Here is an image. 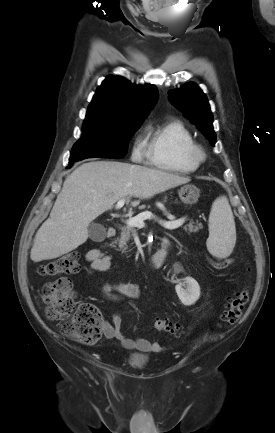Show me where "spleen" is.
I'll list each match as a JSON object with an SVG mask.
<instances>
[{
  "mask_svg": "<svg viewBox=\"0 0 275 433\" xmlns=\"http://www.w3.org/2000/svg\"><path fill=\"white\" fill-rule=\"evenodd\" d=\"M207 249L214 257H228L235 246L236 229L231 207L225 196L217 198L209 215Z\"/></svg>",
  "mask_w": 275,
  "mask_h": 433,
  "instance_id": "1",
  "label": "spleen"
}]
</instances>
